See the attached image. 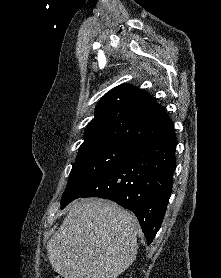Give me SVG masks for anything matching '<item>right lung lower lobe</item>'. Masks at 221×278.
<instances>
[{
	"instance_id": "obj_1",
	"label": "right lung lower lobe",
	"mask_w": 221,
	"mask_h": 278,
	"mask_svg": "<svg viewBox=\"0 0 221 278\" xmlns=\"http://www.w3.org/2000/svg\"><path fill=\"white\" fill-rule=\"evenodd\" d=\"M175 132L133 145L126 158L83 189L79 197L109 199L131 210L150 244L161 227L173 187Z\"/></svg>"
}]
</instances>
